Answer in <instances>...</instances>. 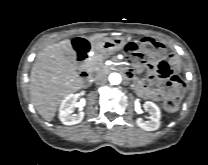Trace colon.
<instances>
[{
	"label": "colon",
	"mask_w": 208,
	"mask_h": 165,
	"mask_svg": "<svg viewBox=\"0 0 208 165\" xmlns=\"http://www.w3.org/2000/svg\"><path fill=\"white\" fill-rule=\"evenodd\" d=\"M80 48H83V45L80 43ZM125 53L129 60L136 64H144L147 56H152L153 59L157 61L164 56L166 50L164 46L156 41L150 39H142L140 42H129L125 46ZM180 105V96L176 95L167 99L164 103V109L167 112H175Z\"/></svg>",
	"instance_id": "obj_1"
}]
</instances>
